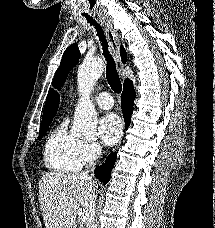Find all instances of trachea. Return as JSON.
<instances>
[{
    "mask_svg": "<svg viewBox=\"0 0 215 228\" xmlns=\"http://www.w3.org/2000/svg\"><path fill=\"white\" fill-rule=\"evenodd\" d=\"M83 16L86 17L88 23L95 26L101 45L103 46V51H104L103 55L107 62V65H106L107 82L109 83L111 89L115 93H120L122 90L121 81L116 70L114 59L112 58V56L110 55V52L108 51V43L106 41L102 27L95 20H93V18L90 17L89 15L84 14Z\"/></svg>",
    "mask_w": 215,
    "mask_h": 228,
    "instance_id": "1",
    "label": "trachea"
}]
</instances>
